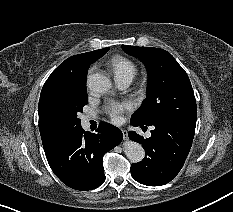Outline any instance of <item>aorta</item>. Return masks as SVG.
<instances>
[{
  "instance_id": "762f6f07",
  "label": "aorta",
  "mask_w": 233,
  "mask_h": 212,
  "mask_svg": "<svg viewBox=\"0 0 233 212\" xmlns=\"http://www.w3.org/2000/svg\"><path fill=\"white\" fill-rule=\"evenodd\" d=\"M88 87L95 93L104 94L111 89L112 82L106 75L94 73L88 77ZM123 145L125 155L132 163H138L143 160L145 151L139 143L126 141Z\"/></svg>"
}]
</instances>
